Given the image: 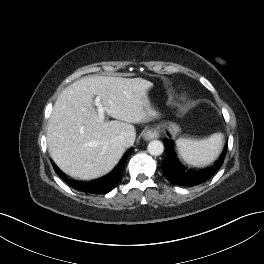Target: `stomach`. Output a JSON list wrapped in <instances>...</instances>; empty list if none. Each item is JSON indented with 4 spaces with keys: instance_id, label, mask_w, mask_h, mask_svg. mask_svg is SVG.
<instances>
[{
    "instance_id": "0dacf381",
    "label": "stomach",
    "mask_w": 264,
    "mask_h": 264,
    "mask_svg": "<svg viewBox=\"0 0 264 264\" xmlns=\"http://www.w3.org/2000/svg\"><path fill=\"white\" fill-rule=\"evenodd\" d=\"M164 127L169 129L172 134H177L180 131V127L172 122L165 123Z\"/></svg>"
}]
</instances>
